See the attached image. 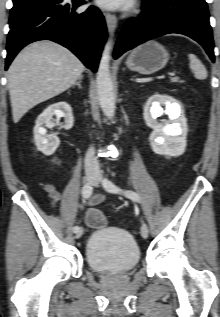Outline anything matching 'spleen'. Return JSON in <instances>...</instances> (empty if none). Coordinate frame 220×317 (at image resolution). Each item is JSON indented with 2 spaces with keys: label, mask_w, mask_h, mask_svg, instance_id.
Wrapping results in <instances>:
<instances>
[{
  "label": "spleen",
  "mask_w": 220,
  "mask_h": 317,
  "mask_svg": "<svg viewBox=\"0 0 220 317\" xmlns=\"http://www.w3.org/2000/svg\"><path fill=\"white\" fill-rule=\"evenodd\" d=\"M189 66L190 69L194 72V76L196 79L204 80L207 78V71L202 62L196 57L194 54H189Z\"/></svg>",
  "instance_id": "obj_1"
}]
</instances>
